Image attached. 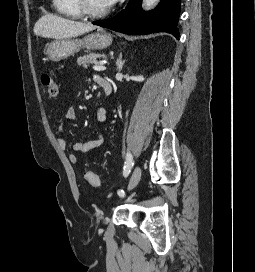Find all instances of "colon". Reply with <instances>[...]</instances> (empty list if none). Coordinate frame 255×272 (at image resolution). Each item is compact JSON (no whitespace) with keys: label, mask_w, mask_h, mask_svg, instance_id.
<instances>
[{"label":"colon","mask_w":255,"mask_h":272,"mask_svg":"<svg viewBox=\"0 0 255 272\" xmlns=\"http://www.w3.org/2000/svg\"><path fill=\"white\" fill-rule=\"evenodd\" d=\"M41 82L49 98H56L59 95V86L55 79L48 73L41 76ZM85 180L93 187L101 186V180L90 168L84 171Z\"/></svg>","instance_id":"5ec220e1"}]
</instances>
